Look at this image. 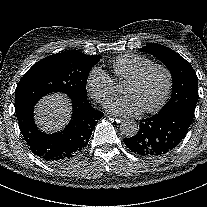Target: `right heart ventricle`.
<instances>
[{
  "label": "right heart ventricle",
  "mask_w": 207,
  "mask_h": 207,
  "mask_svg": "<svg viewBox=\"0 0 207 207\" xmlns=\"http://www.w3.org/2000/svg\"><path fill=\"white\" fill-rule=\"evenodd\" d=\"M152 63V60L137 54H124L113 62V73L116 81H126L143 67Z\"/></svg>",
  "instance_id": "obj_1"
}]
</instances>
